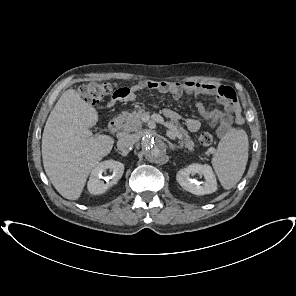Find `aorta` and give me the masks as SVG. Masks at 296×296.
I'll list each match as a JSON object with an SVG mask.
<instances>
[{
  "label": "aorta",
  "mask_w": 296,
  "mask_h": 296,
  "mask_svg": "<svg viewBox=\"0 0 296 296\" xmlns=\"http://www.w3.org/2000/svg\"><path fill=\"white\" fill-rule=\"evenodd\" d=\"M141 146L145 158L151 163H160L166 155L165 148L156 142L152 137L146 135L141 139Z\"/></svg>",
  "instance_id": "1"
}]
</instances>
